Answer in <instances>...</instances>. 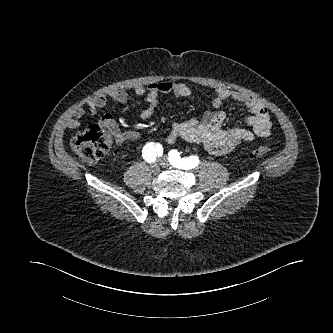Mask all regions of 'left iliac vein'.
<instances>
[{
	"label": "left iliac vein",
	"mask_w": 333,
	"mask_h": 333,
	"mask_svg": "<svg viewBox=\"0 0 333 333\" xmlns=\"http://www.w3.org/2000/svg\"><path fill=\"white\" fill-rule=\"evenodd\" d=\"M161 165H162L164 168H169V167H170V164H169V162L167 161L166 157H164V158L162 159Z\"/></svg>",
	"instance_id": "1"
}]
</instances>
